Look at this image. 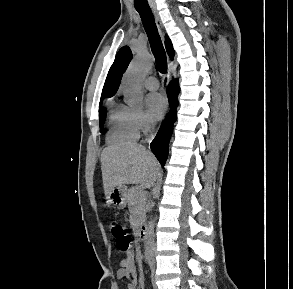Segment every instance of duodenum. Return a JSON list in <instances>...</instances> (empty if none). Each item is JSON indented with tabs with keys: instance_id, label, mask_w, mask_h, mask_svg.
<instances>
[{
	"instance_id": "410a0bca",
	"label": "duodenum",
	"mask_w": 293,
	"mask_h": 289,
	"mask_svg": "<svg viewBox=\"0 0 293 289\" xmlns=\"http://www.w3.org/2000/svg\"><path fill=\"white\" fill-rule=\"evenodd\" d=\"M138 239L141 242H145L147 239V227L145 225H143L139 230H138V234H137Z\"/></svg>"
}]
</instances>
